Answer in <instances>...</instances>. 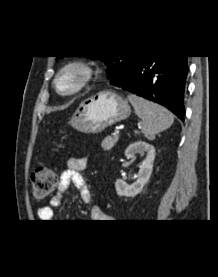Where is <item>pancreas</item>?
Masks as SVG:
<instances>
[{
    "label": "pancreas",
    "mask_w": 218,
    "mask_h": 277,
    "mask_svg": "<svg viewBox=\"0 0 218 277\" xmlns=\"http://www.w3.org/2000/svg\"><path fill=\"white\" fill-rule=\"evenodd\" d=\"M118 140H119V136H118V135H115V136H107V137L103 140L101 146H102V148H103L104 150L109 151V150H111V149L114 147V145L118 142Z\"/></svg>",
    "instance_id": "cf45deb5"
}]
</instances>
